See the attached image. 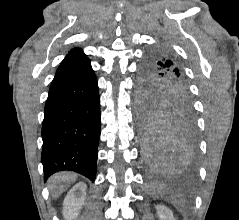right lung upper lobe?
I'll list each match as a JSON object with an SVG mask.
<instances>
[{"label": "right lung upper lobe", "instance_id": "right-lung-upper-lobe-1", "mask_svg": "<svg viewBox=\"0 0 239 220\" xmlns=\"http://www.w3.org/2000/svg\"><path fill=\"white\" fill-rule=\"evenodd\" d=\"M86 60H88V58L80 49H74L65 57L56 73L66 70Z\"/></svg>", "mask_w": 239, "mask_h": 220}]
</instances>
